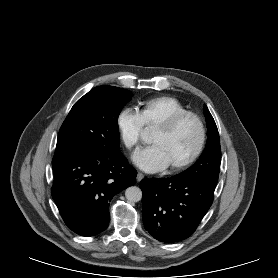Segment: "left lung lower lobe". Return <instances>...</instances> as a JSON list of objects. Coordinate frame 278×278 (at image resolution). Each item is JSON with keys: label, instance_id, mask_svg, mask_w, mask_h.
<instances>
[{"label": "left lung lower lobe", "instance_id": "left-lung-lower-lobe-1", "mask_svg": "<svg viewBox=\"0 0 278 278\" xmlns=\"http://www.w3.org/2000/svg\"><path fill=\"white\" fill-rule=\"evenodd\" d=\"M216 184L175 176L143 179L140 186L145 229L164 243L188 238L212 205Z\"/></svg>", "mask_w": 278, "mask_h": 278}]
</instances>
